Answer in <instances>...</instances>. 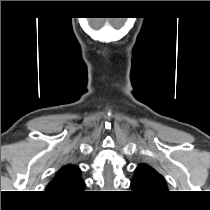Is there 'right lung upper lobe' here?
<instances>
[{"instance_id": "1", "label": "right lung upper lobe", "mask_w": 210, "mask_h": 210, "mask_svg": "<svg viewBox=\"0 0 210 210\" xmlns=\"http://www.w3.org/2000/svg\"><path fill=\"white\" fill-rule=\"evenodd\" d=\"M85 187L81 178V171L76 165L63 166L47 185L48 194L63 197L74 196L83 191Z\"/></svg>"}]
</instances>
